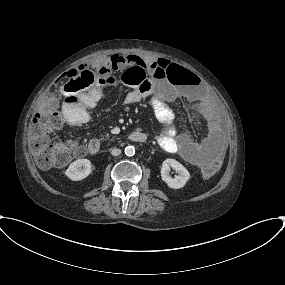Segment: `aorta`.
<instances>
[{"mask_svg": "<svg viewBox=\"0 0 285 285\" xmlns=\"http://www.w3.org/2000/svg\"><path fill=\"white\" fill-rule=\"evenodd\" d=\"M125 154H126L127 156H133V155L135 154V148H134V146H127V147L125 148Z\"/></svg>", "mask_w": 285, "mask_h": 285, "instance_id": "762f6f07", "label": "aorta"}]
</instances>
